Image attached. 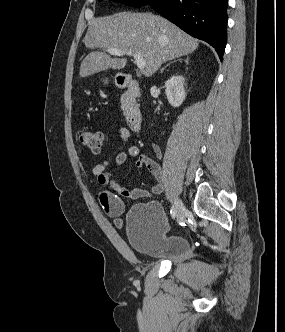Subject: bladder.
I'll return each instance as SVG.
<instances>
[{"label":"bladder","instance_id":"31cf9c89","mask_svg":"<svg viewBox=\"0 0 285 332\" xmlns=\"http://www.w3.org/2000/svg\"><path fill=\"white\" fill-rule=\"evenodd\" d=\"M125 229L132 249L152 259L185 261L192 254L188 240L168 233V223L157 202L134 205L126 215Z\"/></svg>","mask_w":285,"mask_h":332}]
</instances>
